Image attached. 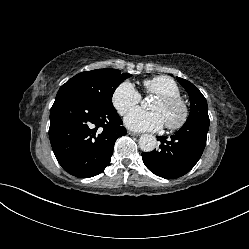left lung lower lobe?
Segmentation results:
<instances>
[{
	"label": "left lung lower lobe",
	"instance_id": "0a47b994",
	"mask_svg": "<svg viewBox=\"0 0 249 249\" xmlns=\"http://www.w3.org/2000/svg\"><path fill=\"white\" fill-rule=\"evenodd\" d=\"M209 119L185 123L170 138L157 137L159 149L143 152L145 166L155 175L175 179L188 173L200 159L206 145Z\"/></svg>",
	"mask_w": 249,
	"mask_h": 249
}]
</instances>
